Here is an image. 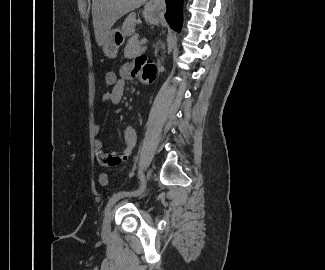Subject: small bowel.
I'll use <instances>...</instances> for the list:
<instances>
[{
  "mask_svg": "<svg viewBox=\"0 0 325 270\" xmlns=\"http://www.w3.org/2000/svg\"><path fill=\"white\" fill-rule=\"evenodd\" d=\"M157 74L156 64L145 56L137 57L134 64H124L118 77L119 86L116 90H110L102 96V102H110L112 104H119L123 100L125 92V82L132 80L139 75L144 81H153ZM101 127L97 123L93 126V134L98 136ZM123 138L125 142V149L122 153H107L103 149V143L100 139L94 141V152L98 163L102 166H116L120 162L126 160L133 152L136 144V131L132 126H126L123 131Z\"/></svg>",
  "mask_w": 325,
  "mask_h": 270,
  "instance_id": "obj_1",
  "label": "small bowel"
}]
</instances>
